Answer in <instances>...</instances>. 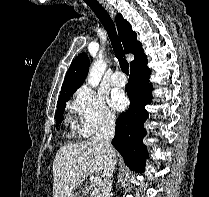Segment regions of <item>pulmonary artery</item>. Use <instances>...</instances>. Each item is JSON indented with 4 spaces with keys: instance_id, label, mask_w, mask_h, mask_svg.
<instances>
[{
    "instance_id": "1",
    "label": "pulmonary artery",
    "mask_w": 209,
    "mask_h": 197,
    "mask_svg": "<svg viewBox=\"0 0 209 197\" xmlns=\"http://www.w3.org/2000/svg\"><path fill=\"white\" fill-rule=\"evenodd\" d=\"M127 83L126 77L120 71L113 73L111 78V84L116 87H123Z\"/></svg>"
}]
</instances>
